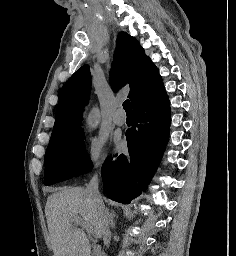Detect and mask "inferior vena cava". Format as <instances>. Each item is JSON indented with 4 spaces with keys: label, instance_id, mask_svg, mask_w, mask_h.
I'll return each mask as SVG.
<instances>
[{
    "label": "inferior vena cava",
    "instance_id": "602c4592",
    "mask_svg": "<svg viewBox=\"0 0 236 256\" xmlns=\"http://www.w3.org/2000/svg\"><path fill=\"white\" fill-rule=\"evenodd\" d=\"M98 188H99L98 176H97V174H95V176H93V178H91L89 184H87L85 192H86V194H88V196H90V198H93V200H96V202H97V204H99L100 208H102V210H104L103 202L101 200V196H100V192H99ZM102 232H103V240H105L106 246H109L110 232L108 230V220H107L106 226H105V228H103Z\"/></svg>",
    "mask_w": 236,
    "mask_h": 256
}]
</instances>
